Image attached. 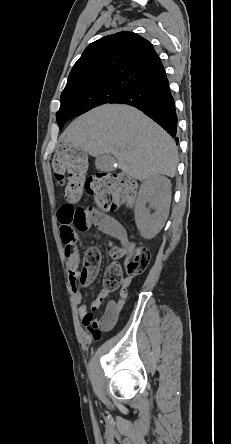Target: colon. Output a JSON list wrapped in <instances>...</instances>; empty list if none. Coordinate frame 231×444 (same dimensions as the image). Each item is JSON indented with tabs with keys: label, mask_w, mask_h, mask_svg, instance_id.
I'll return each instance as SVG.
<instances>
[{
	"label": "colon",
	"mask_w": 231,
	"mask_h": 444,
	"mask_svg": "<svg viewBox=\"0 0 231 444\" xmlns=\"http://www.w3.org/2000/svg\"><path fill=\"white\" fill-rule=\"evenodd\" d=\"M52 167L57 181L65 184V197L70 202L64 210L62 222L77 231L94 227L102 215L97 210H86L71 204L79 200L83 189L94 196L99 209L104 212H112L135 198L137 184L127 175L102 173L86 179V156L75 147L60 145L53 156ZM111 254L114 262L107 268L103 279L107 291L117 290L123 282L124 274L130 277L142 274L151 259L148 249L132 245L113 247ZM71 255L72 251H67V256ZM100 261L99 249L90 247L86 250L78 279L80 286H85L94 277Z\"/></svg>",
	"instance_id": "1"
}]
</instances>
